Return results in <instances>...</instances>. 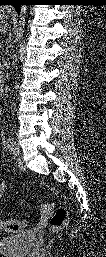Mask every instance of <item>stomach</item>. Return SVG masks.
Returning <instances> with one entry per match:
<instances>
[{"instance_id": "obj_1", "label": "stomach", "mask_w": 106, "mask_h": 257, "mask_svg": "<svg viewBox=\"0 0 106 257\" xmlns=\"http://www.w3.org/2000/svg\"><path fill=\"white\" fill-rule=\"evenodd\" d=\"M6 16H7V12H4V11H3V12L1 13V18H5Z\"/></svg>"}]
</instances>
